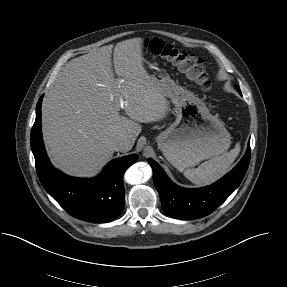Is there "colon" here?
I'll list each match as a JSON object with an SVG mask.
<instances>
[{
  "instance_id": "colon-1",
  "label": "colon",
  "mask_w": 287,
  "mask_h": 287,
  "mask_svg": "<svg viewBox=\"0 0 287 287\" xmlns=\"http://www.w3.org/2000/svg\"><path fill=\"white\" fill-rule=\"evenodd\" d=\"M145 45L151 53L174 63L203 90L210 89L211 82L202 59L158 38L148 39Z\"/></svg>"
}]
</instances>
